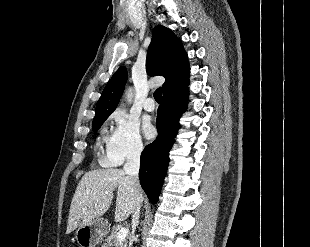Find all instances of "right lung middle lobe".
<instances>
[{"label":"right lung middle lobe","mask_w":310,"mask_h":247,"mask_svg":"<svg viewBox=\"0 0 310 247\" xmlns=\"http://www.w3.org/2000/svg\"><path fill=\"white\" fill-rule=\"evenodd\" d=\"M107 119V117H102L96 121L93 122L92 127H93V131L96 132L97 130H99V128L101 127V125L104 123V121Z\"/></svg>","instance_id":"1"}]
</instances>
